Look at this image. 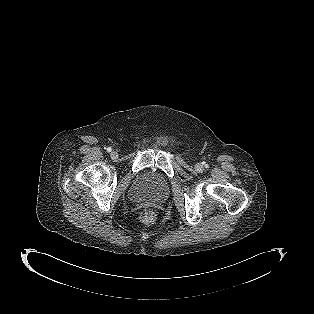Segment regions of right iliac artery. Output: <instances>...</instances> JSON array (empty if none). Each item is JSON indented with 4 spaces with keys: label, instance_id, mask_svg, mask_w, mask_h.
I'll return each mask as SVG.
<instances>
[{
    "label": "right iliac artery",
    "instance_id": "obj_1",
    "mask_svg": "<svg viewBox=\"0 0 314 314\" xmlns=\"http://www.w3.org/2000/svg\"><path fill=\"white\" fill-rule=\"evenodd\" d=\"M106 150H107V152H111L112 149H111V147H107Z\"/></svg>",
    "mask_w": 314,
    "mask_h": 314
}]
</instances>
